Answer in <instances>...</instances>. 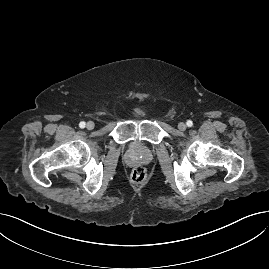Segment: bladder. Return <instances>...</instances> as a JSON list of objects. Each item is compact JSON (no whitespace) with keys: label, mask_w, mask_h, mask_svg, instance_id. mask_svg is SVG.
Returning <instances> with one entry per match:
<instances>
[{"label":"bladder","mask_w":269,"mask_h":269,"mask_svg":"<svg viewBox=\"0 0 269 269\" xmlns=\"http://www.w3.org/2000/svg\"><path fill=\"white\" fill-rule=\"evenodd\" d=\"M137 113L139 114V115H144V113H145V111L143 110V109H138L137 110Z\"/></svg>","instance_id":"bladder-1"}]
</instances>
